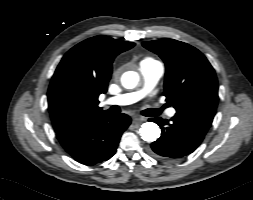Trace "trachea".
Masks as SVG:
<instances>
[{
	"mask_svg": "<svg viewBox=\"0 0 253 200\" xmlns=\"http://www.w3.org/2000/svg\"><path fill=\"white\" fill-rule=\"evenodd\" d=\"M161 110H162V109H149V110L147 111V114H148L149 116H155V115L160 114V113H161Z\"/></svg>",
	"mask_w": 253,
	"mask_h": 200,
	"instance_id": "1",
	"label": "trachea"
}]
</instances>
